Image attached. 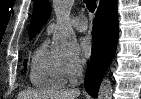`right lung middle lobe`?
I'll return each instance as SVG.
<instances>
[{
  "mask_svg": "<svg viewBox=\"0 0 141 99\" xmlns=\"http://www.w3.org/2000/svg\"><path fill=\"white\" fill-rule=\"evenodd\" d=\"M24 66H26V61H25V63H24Z\"/></svg>",
  "mask_w": 141,
  "mask_h": 99,
  "instance_id": "1",
  "label": "right lung middle lobe"
}]
</instances>
